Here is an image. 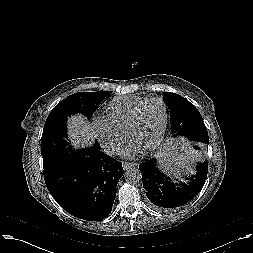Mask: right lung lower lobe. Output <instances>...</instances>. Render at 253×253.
<instances>
[{"mask_svg":"<svg viewBox=\"0 0 253 253\" xmlns=\"http://www.w3.org/2000/svg\"><path fill=\"white\" fill-rule=\"evenodd\" d=\"M123 173L121 162L102 152L99 144L76 158L44 167L47 189L57 203L88 221L102 220L111 213Z\"/></svg>","mask_w":253,"mask_h":253,"instance_id":"obj_1","label":"right lung lower lobe"}]
</instances>
